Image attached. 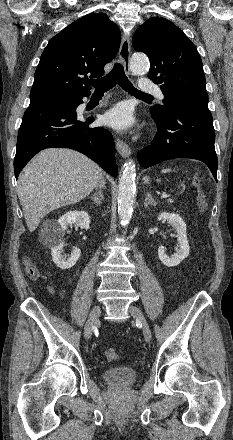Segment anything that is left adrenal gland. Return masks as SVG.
<instances>
[{
    "label": "left adrenal gland",
    "instance_id": "left-adrenal-gland-1",
    "mask_svg": "<svg viewBox=\"0 0 233 440\" xmlns=\"http://www.w3.org/2000/svg\"><path fill=\"white\" fill-rule=\"evenodd\" d=\"M156 205H157V202L152 197L151 192H147L145 200H144V207L156 206Z\"/></svg>",
    "mask_w": 233,
    "mask_h": 440
}]
</instances>
